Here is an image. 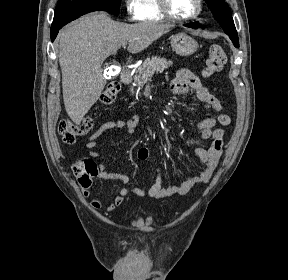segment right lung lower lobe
Masks as SVG:
<instances>
[{"mask_svg":"<svg viewBox=\"0 0 288 280\" xmlns=\"http://www.w3.org/2000/svg\"><path fill=\"white\" fill-rule=\"evenodd\" d=\"M105 10L100 6H82L78 8L69 9L58 16H54V21L51 26V40L54 41L59 30L70 21L93 11Z\"/></svg>","mask_w":288,"mask_h":280,"instance_id":"right-lung-lower-lobe-1","label":"right lung lower lobe"}]
</instances>
